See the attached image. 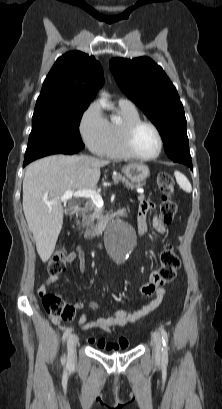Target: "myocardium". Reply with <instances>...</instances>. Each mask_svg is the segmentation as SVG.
Here are the masks:
<instances>
[{"label":"myocardium","mask_w":222,"mask_h":409,"mask_svg":"<svg viewBox=\"0 0 222 409\" xmlns=\"http://www.w3.org/2000/svg\"><path fill=\"white\" fill-rule=\"evenodd\" d=\"M143 125L151 127L157 134L158 137V150L155 154L150 155V156H142L138 154L133 146V137L137 129ZM122 146L125 150V152L128 154L129 157L141 160V161H150L158 158L160 154L162 153L163 147H164V140L162 133L160 129L151 121L148 120H143V119H138L135 121H132L128 123L122 132Z\"/></svg>","instance_id":"f54148a6"}]
</instances>
